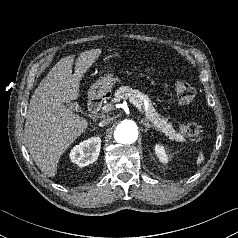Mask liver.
I'll use <instances>...</instances> for the list:
<instances>
[{
	"mask_svg": "<svg viewBox=\"0 0 238 238\" xmlns=\"http://www.w3.org/2000/svg\"><path fill=\"white\" fill-rule=\"evenodd\" d=\"M101 52V49H92L80 53L74 74L75 56L62 58L31 97L24 128L25 142L36 165L48 177H55L61 155L87 129L88 122L65 103L79 97L80 81Z\"/></svg>",
	"mask_w": 238,
	"mask_h": 238,
	"instance_id": "1",
	"label": "liver"
}]
</instances>
